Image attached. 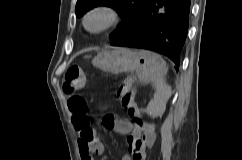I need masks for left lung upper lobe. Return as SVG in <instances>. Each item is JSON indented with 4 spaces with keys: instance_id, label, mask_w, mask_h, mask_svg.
<instances>
[{
    "instance_id": "left-lung-upper-lobe-1",
    "label": "left lung upper lobe",
    "mask_w": 242,
    "mask_h": 160,
    "mask_svg": "<svg viewBox=\"0 0 242 160\" xmlns=\"http://www.w3.org/2000/svg\"><path fill=\"white\" fill-rule=\"evenodd\" d=\"M147 2L148 0H78L75 13L77 17H81L87 11L100 5L114 8L122 18V24L110 35L114 41L125 36L132 29Z\"/></svg>"
}]
</instances>
